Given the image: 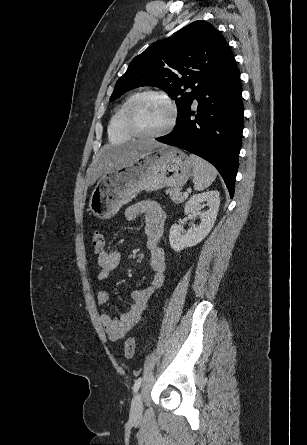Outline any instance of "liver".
I'll list each match as a JSON object with an SVG mask.
<instances>
[{
	"label": "liver",
	"instance_id": "1",
	"mask_svg": "<svg viewBox=\"0 0 307 445\" xmlns=\"http://www.w3.org/2000/svg\"><path fill=\"white\" fill-rule=\"evenodd\" d=\"M157 146H167V144H162V142H141V140L135 142V144H128V146H110V144H105V146L100 148L97 160H95L93 166L88 168V184H94L99 176L110 172L117 166H125V164L135 162L142 152L151 150V148H157Z\"/></svg>",
	"mask_w": 307,
	"mask_h": 445
}]
</instances>
